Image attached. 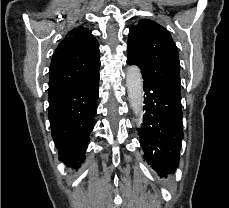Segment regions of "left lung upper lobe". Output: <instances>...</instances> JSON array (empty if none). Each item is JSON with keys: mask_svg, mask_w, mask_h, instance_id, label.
I'll return each instance as SVG.
<instances>
[{"mask_svg": "<svg viewBox=\"0 0 229 208\" xmlns=\"http://www.w3.org/2000/svg\"><path fill=\"white\" fill-rule=\"evenodd\" d=\"M127 61L139 66L143 80L181 99L178 50L163 26L153 20H140L132 26Z\"/></svg>", "mask_w": 229, "mask_h": 208, "instance_id": "1", "label": "left lung upper lobe"}]
</instances>
